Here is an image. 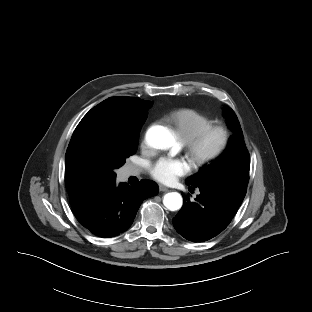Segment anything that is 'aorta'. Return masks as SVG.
<instances>
[{"label":"aorta","mask_w":312,"mask_h":312,"mask_svg":"<svg viewBox=\"0 0 312 312\" xmlns=\"http://www.w3.org/2000/svg\"><path fill=\"white\" fill-rule=\"evenodd\" d=\"M146 137L149 145L157 149L170 148L174 144L172 133L164 126L151 127ZM163 203L169 210L176 211L182 207L183 200L179 193L170 192L164 196Z\"/></svg>","instance_id":"1"}]
</instances>
